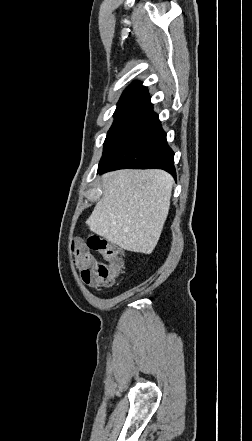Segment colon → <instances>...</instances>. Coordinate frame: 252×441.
Instances as JSON below:
<instances>
[{"label":"colon","mask_w":252,"mask_h":441,"mask_svg":"<svg viewBox=\"0 0 252 441\" xmlns=\"http://www.w3.org/2000/svg\"><path fill=\"white\" fill-rule=\"evenodd\" d=\"M72 251L84 283L94 287H108L117 282L124 266L122 252L118 247L96 234H90L84 244L73 243ZM93 252L105 262L97 260Z\"/></svg>","instance_id":"obj_1"}]
</instances>
